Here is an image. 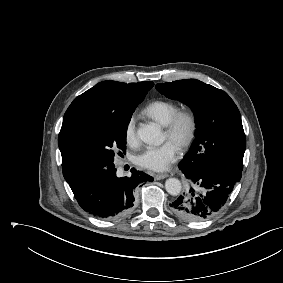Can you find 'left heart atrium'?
I'll use <instances>...</instances> for the list:
<instances>
[{"label":"left heart atrium","instance_id":"left-heart-atrium-1","mask_svg":"<svg viewBox=\"0 0 283 283\" xmlns=\"http://www.w3.org/2000/svg\"><path fill=\"white\" fill-rule=\"evenodd\" d=\"M179 155V147L172 141H167L161 146H148L135 158V162L152 171H164Z\"/></svg>","mask_w":283,"mask_h":283}]
</instances>
